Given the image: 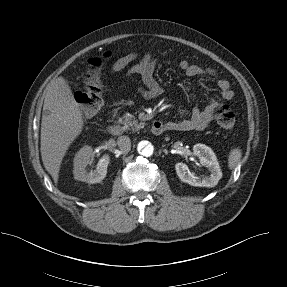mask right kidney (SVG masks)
Listing matches in <instances>:
<instances>
[{
	"instance_id": "1",
	"label": "right kidney",
	"mask_w": 287,
	"mask_h": 287,
	"mask_svg": "<svg viewBox=\"0 0 287 287\" xmlns=\"http://www.w3.org/2000/svg\"><path fill=\"white\" fill-rule=\"evenodd\" d=\"M92 157L93 149L90 146H84L77 152L73 161V174L76 180L93 184L101 182L106 177L109 156L104 155L99 160L96 169L88 172L86 167L91 162Z\"/></svg>"
}]
</instances>
